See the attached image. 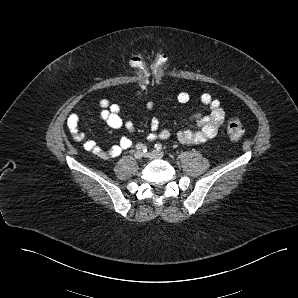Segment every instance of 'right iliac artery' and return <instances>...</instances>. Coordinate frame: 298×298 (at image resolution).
Wrapping results in <instances>:
<instances>
[{
    "label": "right iliac artery",
    "mask_w": 298,
    "mask_h": 298,
    "mask_svg": "<svg viewBox=\"0 0 298 298\" xmlns=\"http://www.w3.org/2000/svg\"><path fill=\"white\" fill-rule=\"evenodd\" d=\"M136 149H138V150H142L143 152H146V151H147V146L144 145V144H142V143H138V144L136 145Z\"/></svg>",
    "instance_id": "obj_1"
}]
</instances>
